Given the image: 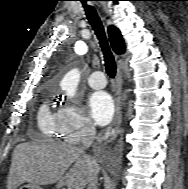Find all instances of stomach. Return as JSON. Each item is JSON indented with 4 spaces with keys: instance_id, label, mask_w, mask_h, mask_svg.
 I'll return each mask as SVG.
<instances>
[{
    "instance_id": "0dacf381",
    "label": "stomach",
    "mask_w": 188,
    "mask_h": 189,
    "mask_svg": "<svg viewBox=\"0 0 188 189\" xmlns=\"http://www.w3.org/2000/svg\"><path fill=\"white\" fill-rule=\"evenodd\" d=\"M19 189H41V188L34 184H26V185L21 186Z\"/></svg>"
}]
</instances>
